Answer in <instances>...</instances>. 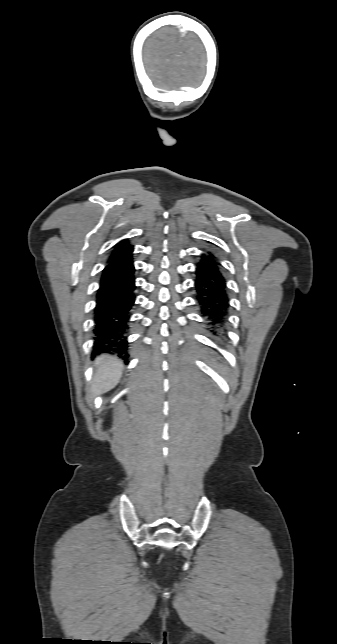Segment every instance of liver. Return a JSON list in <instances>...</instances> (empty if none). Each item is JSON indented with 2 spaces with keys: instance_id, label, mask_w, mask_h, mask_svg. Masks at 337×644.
Returning a JSON list of instances; mask_svg holds the SVG:
<instances>
[{
  "instance_id": "obj_1",
  "label": "liver",
  "mask_w": 337,
  "mask_h": 644,
  "mask_svg": "<svg viewBox=\"0 0 337 644\" xmlns=\"http://www.w3.org/2000/svg\"><path fill=\"white\" fill-rule=\"evenodd\" d=\"M95 366L96 372L89 393L91 398L114 388L121 378L123 369L122 361L110 355L97 357Z\"/></svg>"
}]
</instances>
